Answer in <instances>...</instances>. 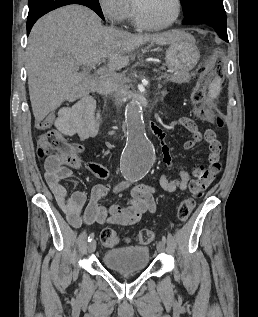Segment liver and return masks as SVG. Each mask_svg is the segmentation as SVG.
Segmentation results:
<instances>
[{
  "label": "liver",
  "instance_id": "6515ba94",
  "mask_svg": "<svg viewBox=\"0 0 258 317\" xmlns=\"http://www.w3.org/2000/svg\"><path fill=\"white\" fill-rule=\"evenodd\" d=\"M182 30L132 34L103 26L100 16L82 4H67L35 22L26 48V70L36 126L64 100H74L90 76L77 72L79 64L108 58L109 72L128 64L127 52L144 42L171 44Z\"/></svg>",
  "mask_w": 258,
  "mask_h": 317
}]
</instances>
